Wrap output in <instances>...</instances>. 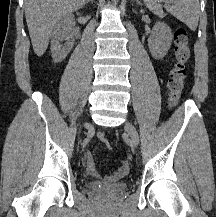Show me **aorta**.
I'll return each mask as SVG.
<instances>
[{"mask_svg":"<svg viewBox=\"0 0 216 217\" xmlns=\"http://www.w3.org/2000/svg\"><path fill=\"white\" fill-rule=\"evenodd\" d=\"M114 1V3H116V2H118L119 0H113Z\"/></svg>","mask_w":216,"mask_h":217,"instance_id":"1","label":"aorta"}]
</instances>
